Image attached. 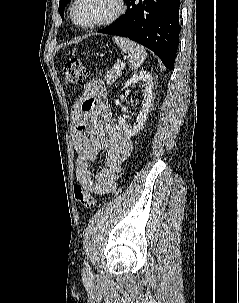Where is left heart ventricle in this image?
Masks as SVG:
<instances>
[{
  "mask_svg": "<svg viewBox=\"0 0 239 303\" xmlns=\"http://www.w3.org/2000/svg\"><path fill=\"white\" fill-rule=\"evenodd\" d=\"M117 9L116 0H79L75 15L80 24H90L112 15Z\"/></svg>",
  "mask_w": 239,
  "mask_h": 303,
  "instance_id": "1",
  "label": "left heart ventricle"
}]
</instances>
